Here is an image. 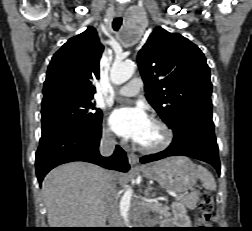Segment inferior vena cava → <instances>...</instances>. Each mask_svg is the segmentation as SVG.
<instances>
[{
    "instance_id": "obj_1",
    "label": "inferior vena cava",
    "mask_w": 252,
    "mask_h": 231,
    "mask_svg": "<svg viewBox=\"0 0 252 231\" xmlns=\"http://www.w3.org/2000/svg\"><path fill=\"white\" fill-rule=\"evenodd\" d=\"M115 149V137L110 133H103L100 143V154L110 156ZM105 213L110 228H121L122 219L118 210V195L115 183L110 180L106 187Z\"/></svg>"
}]
</instances>
